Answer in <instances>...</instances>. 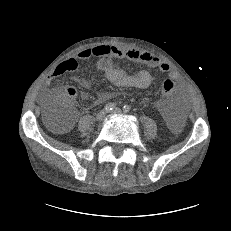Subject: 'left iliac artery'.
<instances>
[{
	"label": "left iliac artery",
	"mask_w": 231,
	"mask_h": 231,
	"mask_svg": "<svg viewBox=\"0 0 231 231\" xmlns=\"http://www.w3.org/2000/svg\"><path fill=\"white\" fill-rule=\"evenodd\" d=\"M130 109H131V107H130L129 105H125V106L123 107L124 112H129Z\"/></svg>",
	"instance_id": "44dca946"
}]
</instances>
